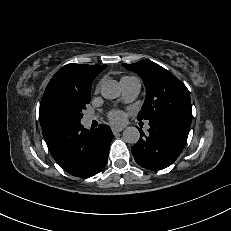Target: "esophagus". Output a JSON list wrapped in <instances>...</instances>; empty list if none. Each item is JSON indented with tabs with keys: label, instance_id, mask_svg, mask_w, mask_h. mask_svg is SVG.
I'll list each match as a JSON object with an SVG mask.
<instances>
[{
	"label": "esophagus",
	"instance_id": "34e87169",
	"mask_svg": "<svg viewBox=\"0 0 231 231\" xmlns=\"http://www.w3.org/2000/svg\"><path fill=\"white\" fill-rule=\"evenodd\" d=\"M124 129V127H112L113 134L119 133Z\"/></svg>",
	"mask_w": 231,
	"mask_h": 231
}]
</instances>
